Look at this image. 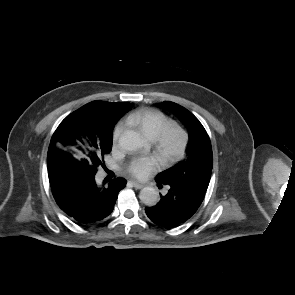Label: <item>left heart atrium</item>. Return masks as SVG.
Masks as SVG:
<instances>
[{
  "mask_svg": "<svg viewBox=\"0 0 295 295\" xmlns=\"http://www.w3.org/2000/svg\"><path fill=\"white\" fill-rule=\"evenodd\" d=\"M160 166L161 159L156 155L139 156L130 161L127 170L133 177L143 180L156 172Z\"/></svg>",
  "mask_w": 295,
  "mask_h": 295,
  "instance_id": "39dd6f15",
  "label": "left heart atrium"
}]
</instances>
